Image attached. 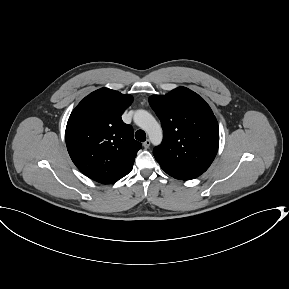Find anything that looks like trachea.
<instances>
[{"instance_id":"3493384b","label":"trachea","mask_w":289,"mask_h":289,"mask_svg":"<svg viewBox=\"0 0 289 289\" xmlns=\"http://www.w3.org/2000/svg\"><path fill=\"white\" fill-rule=\"evenodd\" d=\"M135 138H136L138 141L144 142V141L146 140V133H145L143 130H138V131L135 133Z\"/></svg>"}]
</instances>
